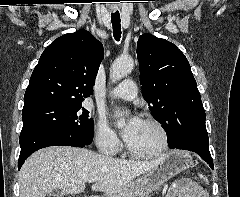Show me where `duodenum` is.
<instances>
[{
  "label": "duodenum",
  "instance_id": "1",
  "mask_svg": "<svg viewBox=\"0 0 240 197\" xmlns=\"http://www.w3.org/2000/svg\"><path fill=\"white\" fill-rule=\"evenodd\" d=\"M90 197H100V196H90ZM105 197H113V196H105Z\"/></svg>",
  "mask_w": 240,
  "mask_h": 197
}]
</instances>
